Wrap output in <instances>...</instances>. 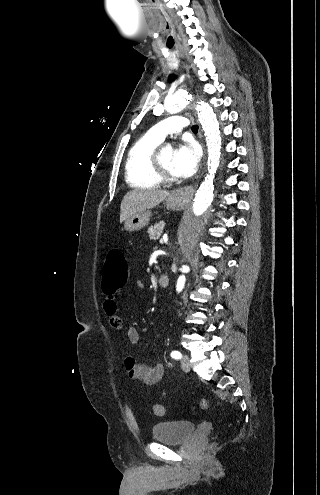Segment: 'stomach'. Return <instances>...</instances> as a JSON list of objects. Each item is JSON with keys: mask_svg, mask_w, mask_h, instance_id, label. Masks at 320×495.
<instances>
[{"mask_svg": "<svg viewBox=\"0 0 320 495\" xmlns=\"http://www.w3.org/2000/svg\"><path fill=\"white\" fill-rule=\"evenodd\" d=\"M165 205L167 209L182 210L187 206V202L177 193H172L167 197ZM151 215V210L135 213L125 220L124 227L129 232L139 231L148 225Z\"/></svg>", "mask_w": 320, "mask_h": 495, "instance_id": "1", "label": "stomach"}]
</instances>
